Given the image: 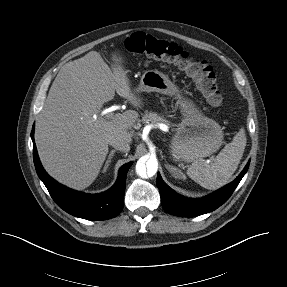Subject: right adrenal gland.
<instances>
[{
  "instance_id": "1",
  "label": "right adrenal gland",
  "mask_w": 287,
  "mask_h": 287,
  "mask_svg": "<svg viewBox=\"0 0 287 287\" xmlns=\"http://www.w3.org/2000/svg\"><path fill=\"white\" fill-rule=\"evenodd\" d=\"M115 152H116V150H112V151L109 153L108 158H107V160H106V162H105L103 171H102L103 173L106 172V170L108 169V167H109V165H110V163H111V161H112V158L114 157Z\"/></svg>"
}]
</instances>
